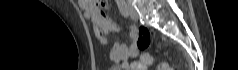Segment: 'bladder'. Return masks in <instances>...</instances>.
Instances as JSON below:
<instances>
[{
	"label": "bladder",
	"mask_w": 238,
	"mask_h": 70,
	"mask_svg": "<svg viewBox=\"0 0 238 70\" xmlns=\"http://www.w3.org/2000/svg\"><path fill=\"white\" fill-rule=\"evenodd\" d=\"M110 70H123V68H121V67H112V68H110Z\"/></svg>",
	"instance_id": "1"
}]
</instances>
